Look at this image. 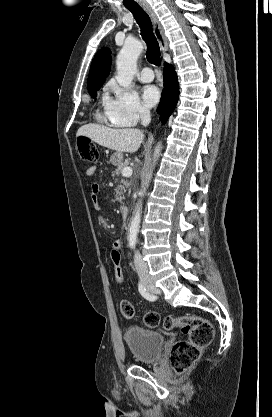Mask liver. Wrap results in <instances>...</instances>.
<instances>
[{
  "instance_id": "1",
  "label": "liver",
  "mask_w": 272,
  "mask_h": 417,
  "mask_svg": "<svg viewBox=\"0 0 272 417\" xmlns=\"http://www.w3.org/2000/svg\"><path fill=\"white\" fill-rule=\"evenodd\" d=\"M76 136H86L103 147L128 153H135L144 139L139 129H114L98 124L81 126Z\"/></svg>"
}]
</instances>
